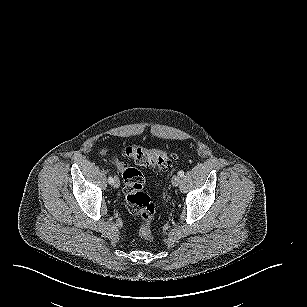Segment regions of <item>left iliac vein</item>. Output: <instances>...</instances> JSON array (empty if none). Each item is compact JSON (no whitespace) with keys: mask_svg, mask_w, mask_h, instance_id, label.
Segmentation results:
<instances>
[{"mask_svg":"<svg viewBox=\"0 0 307 307\" xmlns=\"http://www.w3.org/2000/svg\"><path fill=\"white\" fill-rule=\"evenodd\" d=\"M181 182V178L179 175H174L172 178V185L177 187Z\"/></svg>","mask_w":307,"mask_h":307,"instance_id":"left-iliac-vein-1","label":"left iliac vein"}]
</instances>
